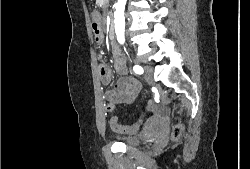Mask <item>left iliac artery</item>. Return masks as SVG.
Wrapping results in <instances>:
<instances>
[{"instance_id":"44dca946","label":"left iliac artery","mask_w":250,"mask_h":169,"mask_svg":"<svg viewBox=\"0 0 250 169\" xmlns=\"http://www.w3.org/2000/svg\"><path fill=\"white\" fill-rule=\"evenodd\" d=\"M133 70H134V72H135L136 74H143V72H144L143 68H142L141 66H139V65H135V66L133 67Z\"/></svg>"}]
</instances>
